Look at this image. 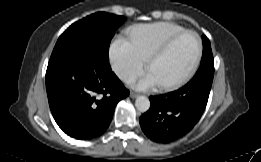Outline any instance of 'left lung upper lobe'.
I'll use <instances>...</instances> for the list:
<instances>
[{
	"instance_id": "obj_1",
	"label": "left lung upper lobe",
	"mask_w": 261,
	"mask_h": 162,
	"mask_svg": "<svg viewBox=\"0 0 261 162\" xmlns=\"http://www.w3.org/2000/svg\"><path fill=\"white\" fill-rule=\"evenodd\" d=\"M202 41H203V55H202L200 67L196 74L205 73V72L214 73V60H213L210 41L204 35L202 36Z\"/></svg>"
}]
</instances>
